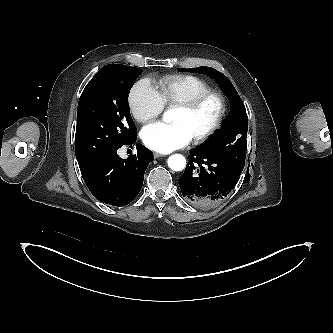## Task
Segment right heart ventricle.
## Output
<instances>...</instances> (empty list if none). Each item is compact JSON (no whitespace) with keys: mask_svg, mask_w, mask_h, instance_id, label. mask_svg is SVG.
<instances>
[{"mask_svg":"<svg viewBox=\"0 0 333 333\" xmlns=\"http://www.w3.org/2000/svg\"><path fill=\"white\" fill-rule=\"evenodd\" d=\"M210 90V85L197 76L171 75L159 81L158 93L164 105L177 106Z\"/></svg>","mask_w":333,"mask_h":333,"instance_id":"e07e8e85","label":"right heart ventricle"}]
</instances>
